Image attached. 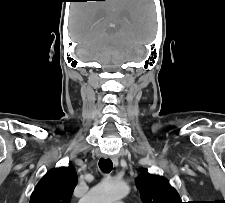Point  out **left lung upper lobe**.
<instances>
[{
  "label": "left lung upper lobe",
  "instance_id": "1",
  "mask_svg": "<svg viewBox=\"0 0 225 203\" xmlns=\"http://www.w3.org/2000/svg\"><path fill=\"white\" fill-rule=\"evenodd\" d=\"M143 203H182L167 179L144 170L135 180Z\"/></svg>",
  "mask_w": 225,
  "mask_h": 203
}]
</instances>
